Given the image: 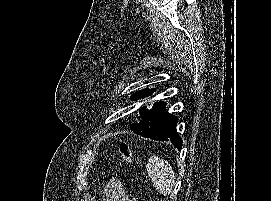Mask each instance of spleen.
I'll use <instances>...</instances> for the list:
<instances>
[{"mask_svg": "<svg viewBox=\"0 0 271 201\" xmlns=\"http://www.w3.org/2000/svg\"><path fill=\"white\" fill-rule=\"evenodd\" d=\"M146 169L156 191L163 196L171 194L175 185V173L170 163L153 155L149 158Z\"/></svg>", "mask_w": 271, "mask_h": 201, "instance_id": "1", "label": "spleen"}]
</instances>
